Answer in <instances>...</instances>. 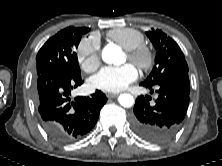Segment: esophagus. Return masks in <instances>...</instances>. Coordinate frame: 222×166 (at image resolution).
<instances>
[{"instance_id": "1", "label": "esophagus", "mask_w": 222, "mask_h": 166, "mask_svg": "<svg viewBox=\"0 0 222 166\" xmlns=\"http://www.w3.org/2000/svg\"><path fill=\"white\" fill-rule=\"evenodd\" d=\"M106 96L108 98H114V97L118 96V93H107Z\"/></svg>"}]
</instances>
